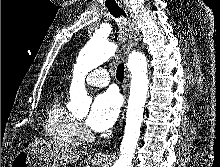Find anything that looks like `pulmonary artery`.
Instances as JSON below:
<instances>
[{"label": "pulmonary artery", "mask_w": 220, "mask_h": 167, "mask_svg": "<svg viewBox=\"0 0 220 167\" xmlns=\"http://www.w3.org/2000/svg\"><path fill=\"white\" fill-rule=\"evenodd\" d=\"M87 84L96 87H105L110 83V77L105 69H95L85 78Z\"/></svg>", "instance_id": "pulmonary-artery-1"}]
</instances>
